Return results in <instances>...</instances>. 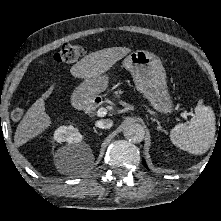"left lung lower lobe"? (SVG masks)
Masks as SVG:
<instances>
[{"instance_id":"obj_1","label":"left lung lower lobe","mask_w":221,"mask_h":221,"mask_svg":"<svg viewBox=\"0 0 221 221\" xmlns=\"http://www.w3.org/2000/svg\"><path fill=\"white\" fill-rule=\"evenodd\" d=\"M142 162H143V165L146 166V163H145V160H144V159L142 160ZM146 167H147V166H146Z\"/></svg>"}]
</instances>
